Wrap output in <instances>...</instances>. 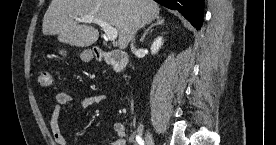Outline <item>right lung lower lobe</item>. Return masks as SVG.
I'll use <instances>...</instances> for the list:
<instances>
[{
    "label": "right lung lower lobe",
    "instance_id": "obj_1",
    "mask_svg": "<svg viewBox=\"0 0 276 145\" xmlns=\"http://www.w3.org/2000/svg\"><path fill=\"white\" fill-rule=\"evenodd\" d=\"M159 4L178 10L196 29L203 21L204 0H154Z\"/></svg>",
    "mask_w": 276,
    "mask_h": 145
}]
</instances>
